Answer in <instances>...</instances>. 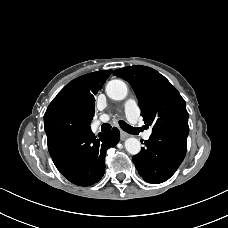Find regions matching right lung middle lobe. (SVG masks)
Masks as SVG:
<instances>
[{"label":"right lung middle lobe","mask_w":228,"mask_h":228,"mask_svg":"<svg viewBox=\"0 0 228 228\" xmlns=\"http://www.w3.org/2000/svg\"><path fill=\"white\" fill-rule=\"evenodd\" d=\"M90 121L85 115L69 106L49 105L44 115L48 144L67 135L90 129Z\"/></svg>","instance_id":"obj_1"}]
</instances>
